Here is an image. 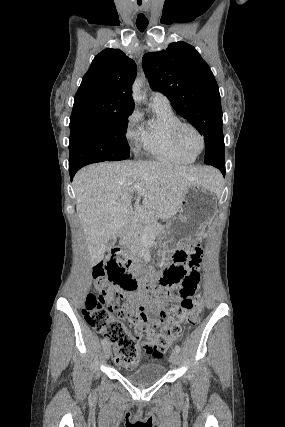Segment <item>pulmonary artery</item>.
Listing matches in <instances>:
<instances>
[{
  "label": "pulmonary artery",
  "mask_w": 285,
  "mask_h": 427,
  "mask_svg": "<svg viewBox=\"0 0 285 427\" xmlns=\"http://www.w3.org/2000/svg\"><path fill=\"white\" fill-rule=\"evenodd\" d=\"M150 100H151V103H154V104H160V105L169 104L168 98L160 92H152L150 96Z\"/></svg>",
  "instance_id": "1"
}]
</instances>
